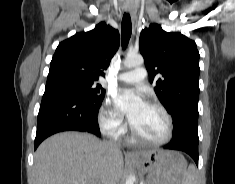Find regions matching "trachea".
I'll list each match as a JSON object with an SVG mask.
<instances>
[{
  "label": "trachea",
  "instance_id": "1",
  "mask_svg": "<svg viewBox=\"0 0 235 184\" xmlns=\"http://www.w3.org/2000/svg\"><path fill=\"white\" fill-rule=\"evenodd\" d=\"M132 32V24H131V18L130 15L127 13H124L123 19H122V25H121V41H122V48L125 49L128 41L130 39Z\"/></svg>",
  "mask_w": 235,
  "mask_h": 184
}]
</instances>
